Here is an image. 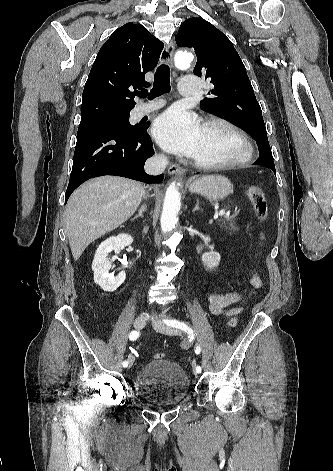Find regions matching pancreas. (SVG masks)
I'll return each mask as SVG.
<instances>
[{
  "mask_svg": "<svg viewBox=\"0 0 333 471\" xmlns=\"http://www.w3.org/2000/svg\"><path fill=\"white\" fill-rule=\"evenodd\" d=\"M221 225L220 227L222 228H227L229 230H234L236 229L235 222H236V217L235 216H225L224 220H221Z\"/></svg>",
  "mask_w": 333,
  "mask_h": 471,
  "instance_id": "cf45deb5",
  "label": "pancreas"
}]
</instances>
